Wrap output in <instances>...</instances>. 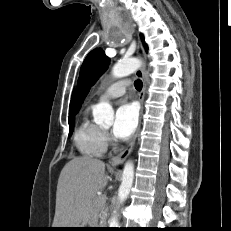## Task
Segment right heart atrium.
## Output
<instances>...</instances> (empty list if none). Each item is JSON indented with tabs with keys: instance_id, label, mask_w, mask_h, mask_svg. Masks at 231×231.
Listing matches in <instances>:
<instances>
[{
	"instance_id": "1",
	"label": "right heart atrium",
	"mask_w": 231,
	"mask_h": 231,
	"mask_svg": "<svg viewBox=\"0 0 231 231\" xmlns=\"http://www.w3.org/2000/svg\"><path fill=\"white\" fill-rule=\"evenodd\" d=\"M105 138H106V140L108 139V136L107 135H105Z\"/></svg>"
}]
</instances>
